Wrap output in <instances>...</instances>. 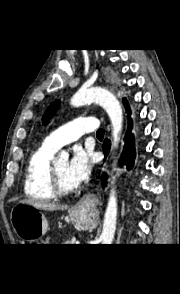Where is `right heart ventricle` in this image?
I'll use <instances>...</instances> for the list:
<instances>
[{"label": "right heart ventricle", "instance_id": "obj_1", "mask_svg": "<svg viewBox=\"0 0 180 294\" xmlns=\"http://www.w3.org/2000/svg\"><path fill=\"white\" fill-rule=\"evenodd\" d=\"M56 151L43 143L30 156L24 181V192L28 197L44 201L56 198L49 186L50 167Z\"/></svg>", "mask_w": 180, "mask_h": 294}]
</instances>
